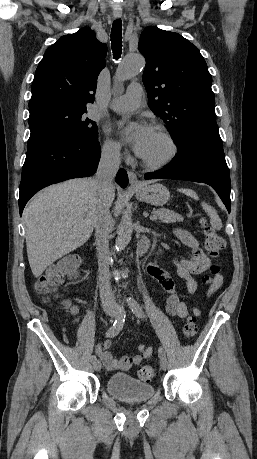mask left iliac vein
I'll list each match as a JSON object with an SVG mask.
<instances>
[{"label":"left iliac vein","instance_id":"left-iliac-vein-1","mask_svg":"<svg viewBox=\"0 0 257 459\" xmlns=\"http://www.w3.org/2000/svg\"><path fill=\"white\" fill-rule=\"evenodd\" d=\"M160 367H161V369L166 370V368H167V359H166V357H161L160 358Z\"/></svg>","mask_w":257,"mask_h":459}]
</instances>
